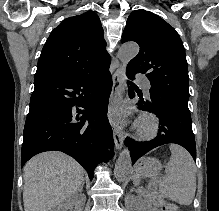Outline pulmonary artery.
<instances>
[{
	"label": "pulmonary artery",
	"mask_w": 219,
	"mask_h": 211,
	"mask_svg": "<svg viewBox=\"0 0 219 211\" xmlns=\"http://www.w3.org/2000/svg\"><path fill=\"white\" fill-rule=\"evenodd\" d=\"M135 80H140V75H135ZM142 86H143V89H144V91H145V93L146 94H149V91H150V84L148 83V82H144L143 84H142Z\"/></svg>",
	"instance_id": "e3ab8cb5"
}]
</instances>
